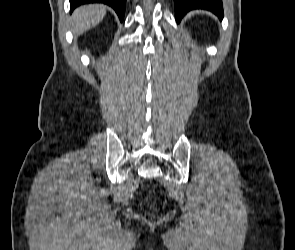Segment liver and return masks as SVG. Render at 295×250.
<instances>
[{
    "mask_svg": "<svg viewBox=\"0 0 295 250\" xmlns=\"http://www.w3.org/2000/svg\"><path fill=\"white\" fill-rule=\"evenodd\" d=\"M106 7L99 4L83 5L75 9L72 15V27L75 36L95 27L105 16Z\"/></svg>",
    "mask_w": 295,
    "mask_h": 250,
    "instance_id": "1",
    "label": "liver"
}]
</instances>
